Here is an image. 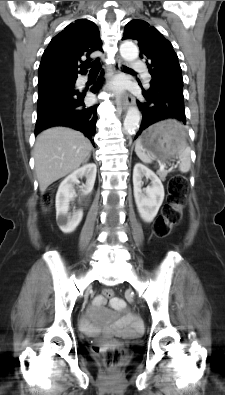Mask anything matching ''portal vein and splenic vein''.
I'll list each match as a JSON object with an SVG mask.
<instances>
[{
  "instance_id": "18ae733b",
  "label": "portal vein and splenic vein",
  "mask_w": 225,
  "mask_h": 395,
  "mask_svg": "<svg viewBox=\"0 0 225 395\" xmlns=\"http://www.w3.org/2000/svg\"><path fill=\"white\" fill-rule=\"evenodd\" d=\"M159 167H160V170H164L165 164H163L162 162H159Z\"/></svg>"
}]
</instances>
